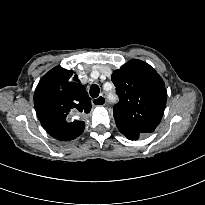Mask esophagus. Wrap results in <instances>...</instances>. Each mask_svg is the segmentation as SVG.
Segmentation results:
<instances>
[{
	"label": "esophagus",
	"instance_id": "obj_1",
	"mask_svg": "<svg viewBox=\"0 0 205 205\" xmlns=\"http://www.w3.org/2000/svg\"><path fill=\"white\" fill-rule=\"evenodd\" d=\"M93 106H104L106 104V99L103 95L98 96L92 100Z\"/></svg>",
	"mask_w": 205,
	"mask_h": 205
}]
</instances>
